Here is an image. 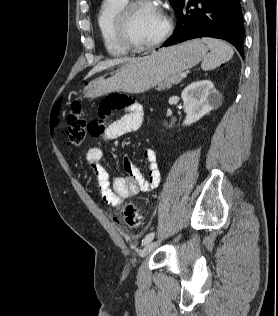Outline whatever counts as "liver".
<instances>
[{"mask_svg": "<svg viewBox=\"0 0 278 316\" xmlns=\"http://www.w3.org/2000/svg\"><path fill=\"white\" fill-rule=\"evenodd\" d=\"M136 58L131 57H125V58H118V59H112V60H106L98 63L88 74L85 78H89L95 73L101 72L105 69H108L110 67H114L115 65L126 63L130 61H134Z\"/></svg>", "mask_w": 278, "mask_h": 316, "instance_id": "liver-1", "label": "liver"}]
</instances>
